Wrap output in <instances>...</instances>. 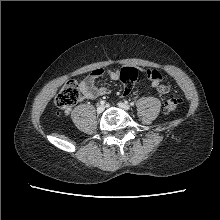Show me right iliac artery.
Instances as JSON below:
<instances>
[{
    "label": "right iliac artery",
    "mask_w": 220,
    "mask_h": 220,
    "mask_svg": "<svg viewBox=\"0 0 220 220\" xmlns=\"http://www.w3.org/2000/svg\"><path fill=\"white\" fill-rule=\"evenodd\" d=\"M100 104H101V105H104V104H105V101H104V100H101V101H100Z\"/></svg>",
    "instance_id": "1"
}]
</instances>
